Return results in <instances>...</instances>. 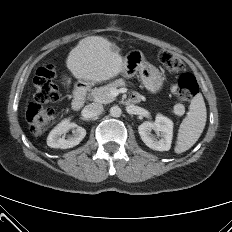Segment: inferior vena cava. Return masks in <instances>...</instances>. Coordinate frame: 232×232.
Listing matches in <instances>:
<instances>
[{
  "instance_id": "602c4592",
  "label": "inferior vena cava",
  "mask_w": 232,
  "mask_h": 232,
  "mask_svg": "<svg viewBox=\"0 0 232 232\" xmlns=\"http://www.w3.org/2000/svg\"><path fill=\"white\" fill-rule=\"evenodd\" d=\"M103 106L98 103L90 104L83 109V117L89 119L100 115L103 112Z\"/></svg>"
}]
</instances>
